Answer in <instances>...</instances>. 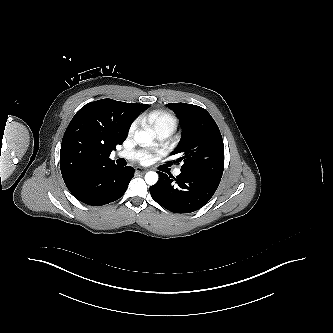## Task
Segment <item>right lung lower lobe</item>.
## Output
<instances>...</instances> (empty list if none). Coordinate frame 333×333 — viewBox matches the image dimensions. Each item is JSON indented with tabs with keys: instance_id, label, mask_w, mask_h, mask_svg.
I'll return each mask as SVG.
<instances>
[{
	"instance_id": "right-lung-lower-lobe-1",
	"label": "right lung lower lobe",
	"mask_w": 333,
	"mask_h": 333,
	"mask_svg": "<svg viewBox=\"0 0 333 333\" xmlns=\"http://www.w3.org/2000/svg\"><path fill=\"white\" fill-rule=\"evenodd\" d=\"M133 174L132 167L114 164L86 174L69 190L81 202L101 206L122 197Z\"/></svg>"
}]
</instances>
